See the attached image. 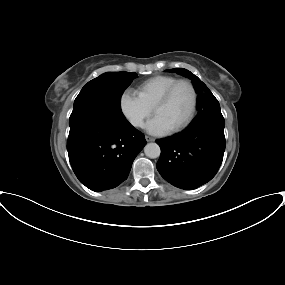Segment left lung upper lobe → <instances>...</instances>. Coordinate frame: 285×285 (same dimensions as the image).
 Instances as JSON below:
<instances>
[{"instance_id":"5c2ea615","label":"left lung upper lobe","mask_w":285,"mask_h":285,"mask_svg":"<svg viewBox=\"0 0 285 285\" xmlns=\"http://www.w3.org/2000/svg\"><path fill=\"white\" fill-rule=\"evenodd\" d=\"M169 71L179 73L192 80V83L196 89V92L198 93L197 108L199 110V113L197 117L195 118V120L205 115L221 114L219 102L217 101L215 96L212 94V92L206 87V85L196 75L192 74L190 71L183 69V68L169 69Z\"/></svg>"}]
</instances>
